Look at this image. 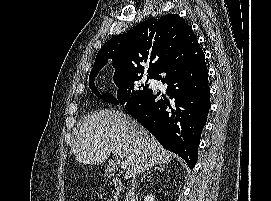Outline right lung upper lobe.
<instances>
[{
    "instance_id": "obj_1",
    "label": "right lung upper lobe",
    "mask_w": 271,
    "mask_h": 201,
    "mask_svg": "<svg viewBox=\"0 0 271 201\" xmlns=\"http://www.w3.org/2000/svg\"><path fill=\"white\" fill-rule=\"evenodd\" d=\"M188 36L196 39L191 27L177 14L143 21L101 47L90 76L97 75L110 58L115 74L139 75L146 67L148 75H154Z\"/></svg>"
}]
</instances>
